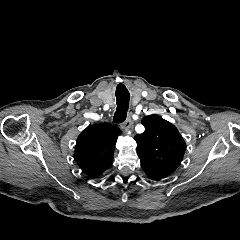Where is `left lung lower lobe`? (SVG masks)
I'll list each match as a JSON object with an SVG mask.
<instances>
[{
  "mask_svg": "<svg viewBox=\"0 0 240 240\" xmlns=\"http://www.w3.org/2000/svg\"><path fill=\"white\" fill-rule=\"evenodd\" d=\"M150 179H152V180H154V181H159V180H161V179H163V178H160V177H158V176H156V175H153V174H150V173H148V174H146Z\"/></svg>",
  "mask_w": 240,
  "mask_h": 240,
  "instance_id": "1",
  "label": "left lung lower lobe"
}]
</instances>
